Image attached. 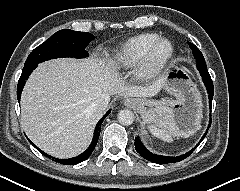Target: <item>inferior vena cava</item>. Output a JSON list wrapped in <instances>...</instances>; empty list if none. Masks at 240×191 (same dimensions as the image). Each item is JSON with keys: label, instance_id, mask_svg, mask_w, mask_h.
Listing matches in <instances>:
<instances>
[{"label": "inferior vena cava", "instance_id": "inferior-vena-cava-1", "mask_svg": "<svg viewBox=\"0 0 240 191\" xmlns=\"http://www.w3.org/2000/svg\"><path fill=\"white\" fill-rule=\"evenodd\" d=\"M109 101H110V96L105 94L100 96L97 100H95L92 103V106L98 112L103 113L107 109Z\"/></svg>", "mask_w": 240, "mask_h": 191}]
</instances>
